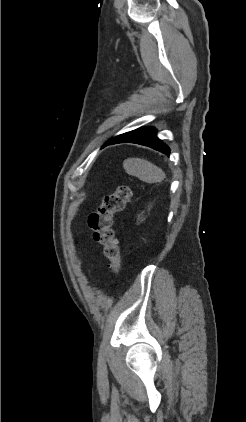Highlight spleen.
I'll list each match as a JSON object with an SVG mask.
<instances>
[{
    "label": "spleen",
    "instance_id": "spleen-1",
    "mask_svg": "<svg viewBox=\"0 0 246 422\" xmlns=\"http://www.w3.org/2000/svg\"><path fill=\"white\" fill-rule=\"evenodd\" d=\"M123 167L127 174L146 183H157L166 178V174L161 168L145 159L128 158L124 160Z\"/></svg>",
    "mask_w": 246,
    "mask_h": 422
}]
</instances>
